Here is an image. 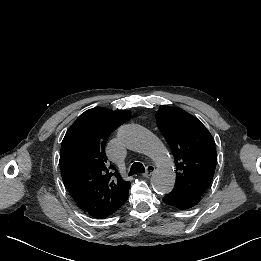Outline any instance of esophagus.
I'll use <instances>...</instances> for the list:
<instances>
[{
  "instance_id": "1",
  "label": "esophagus",
  "mask_w": 261,
  "mask_h": 261,
  "mask_svg": "<svg viewBox=\"0 0 261 261\" xmlns=\"http://www.w3.org/2000/svg\"><path fill=\"white\" fill-rule=\"evenodd\" d=\"M155 170L154 165L149 164L146 166V173L142 174L144 177H149Z\"/></svg>"
}]
</instances>
